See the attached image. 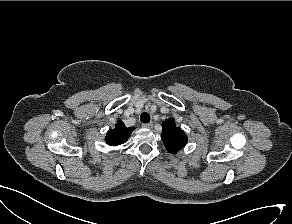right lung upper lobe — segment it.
<instances>
[{
	"label": "right lung upper lobe",
	"instance_id": "right-lung-upper-lobe-1",
	"mask_svg": "<svg viewBox=\"0 0 292 224\" xmlns=\"http://www.w3.org/2000/svg\"><path fill=\"white\" fill-rule=\"evenodd\" d=\"M134 129V127L127 128L124 123L119 120L115 128L107 132L105 141L110 146H119L128 140Z\"/></svg>",
	"mask_w": 292,
	"mask_h": 224
}]
</instances>
